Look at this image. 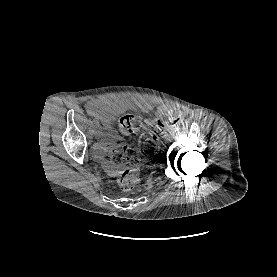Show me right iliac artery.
<instances>
[{
  "label": "right iliac artery",
  "mask_w": 277,
  "mask_h": 277,
  "mask_svg": "<svg viewBox=\"0 0 277 277\" xmlns=\"http://www.w3.org/2000/svg\"><path fill=\"white\" fill-rule=\"evenodd\" d=\"M94 132L95 133H99L100 132L99 126L97 124L94 125Z\"/></svg>",
  "instance_id": "right-iliac-artery-1"
}]
</instances>
